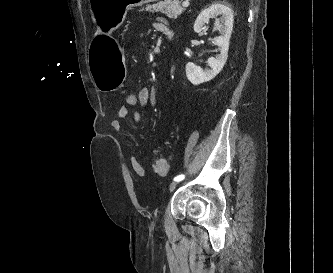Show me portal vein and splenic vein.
Segmentation results:
<instances>
[{
	"label": "portal vein and splenic vein",
	"mask_w": 333,
	"mask_h": 273,
	"mask_svg": "<svg viewBox=\"0 0 333 273\" xmlns=\"http://www.w3.org/2000/svg\"><path fill=\"white\" fill-rule=\"evenodd\" d=\"M182 6H183V7H188V6H189V0H185V1L182 3Z\"/></svg>",
	"instance_id": "obj_1"
}]
</instances>
